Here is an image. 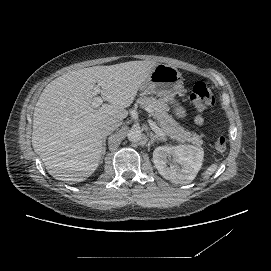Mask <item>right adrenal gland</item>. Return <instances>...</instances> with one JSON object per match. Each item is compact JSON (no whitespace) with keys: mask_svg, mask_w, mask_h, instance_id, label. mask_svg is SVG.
Wrapping results in <instances>:
<instances>
[{"mask_svg":"<svg viewBox=\"0 0 271 271\" xmlns=\"http://www.w3.org/2000/svg\"><path fill=\"white\" fill-rule=\"evenodd\" d=\"M106 139H107V136H104L103 139H102V149H103V155H105V152H106Z\"/></svg>","mask_w":271,"mask_h":271,"instance_id":"2a0ac1e0","label":"right adrenal gland"}]
</instances>
